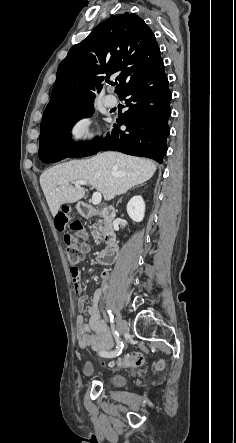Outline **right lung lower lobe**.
Listing matches in <instances>:
<instances>
[{"label": "right lung lower lobe", "mask_w": 236, "mask_h": 443, "mask_svg": "<svg viewBox=\"0 0 236 443\" xmlns=\"http://www.w3.org/2000/svg\"><path fill=\"white\" fill-rule=\"evenodd\" d=\"M129 109L119 116L111 135L95 138L87 144L54 145L39 150L45 162H57L67 157H85L102 150H116L162 163L167 152L168 119L171 115V92L160 59L149 71L134 79L120 94ZM125 125L127 133L120 130Z\"/></svg>", "instance_id": "right-lung-lower-lobe-1"}]
</instances>
